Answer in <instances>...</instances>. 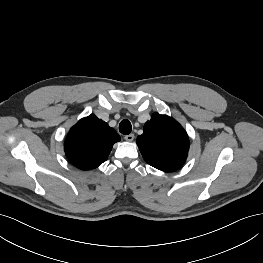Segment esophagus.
I'll return each instance as SVG.
<instances>
[{
  "mask_svg": "<svg viewBox=\"0 0 263 263\" xmlns=\"http://www.w3.org/2000/svg\"><path fill=\"white\" fill-rule=\"evenodd\" d=\"M134 134H128V135H126L125 137H124V139L126 140V141H128V142H131V141H133L134 140Z\"/></svg>",
  "mask_w": 263,
  "mask_h": 263,
  "instance_id": "esophagus-1",
  "label": "esophagus"
}]
</instances>
